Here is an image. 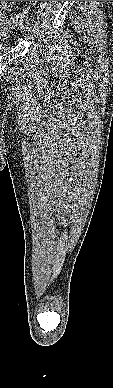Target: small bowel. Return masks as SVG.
<instances>
[{"label": "small bowel", "instance_id": "obj_1", "mask_svg": "<svg viewBox=\"0 0 113 388\" xmlns=\"http://www.w3.org/2000/svg\"><path fill=\"white\" fill-rule=\"evenodd\" d=\"M14 3L15 1H1V4H0V22L2 20L6 21V18H5V15L3 14V11L8 9V8H12L14 6Z\"/></svg>", "mask_w": 113, "mask_h": 388}]
</instances>
